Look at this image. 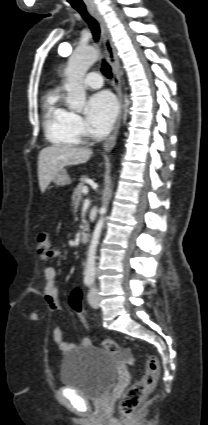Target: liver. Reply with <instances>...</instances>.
<instances>
[{"instance_id": "obj_1", "label": "liver", "mask_w": 208, "mask_h": 425, "mask_svg": "<svg viewBox=\"0 0 208 425\" xmlns=\"http://www.w3.org/2000/svg\"><path fill=\"white\" fill-rule=\"evenodd\" d=\"M92 151L70 145H53L42 149L38 156V179L42 193L54 176L65 166L86 163Z\"/></svg>"}]
</instances>
